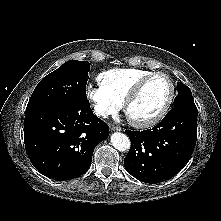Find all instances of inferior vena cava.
<instances>
[{"label": "inferior vena cava", "instance_id": "602c4592", "mask_svg": "<svg viewBox=\"0 0 221 221\" xmlns=\"http://www.w3.org/2000/svg\"><path fill=\"white\" fill-rule=\"evenodd\" d=\"M95 111H96V114L99 116H103L105 118H106V116H108V113L104 109H102L101 107L96 108Z\"/></svg>", "mask_w": 221, "mask_h": 221}]
</instances>
